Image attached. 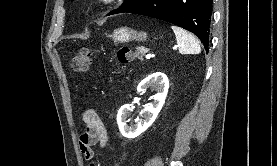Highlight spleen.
I'll use <instances>...</instances> for the list:
<instances>
[{"instance_id": "3e777b00", "label": "spleen", "mask_w": 277, "mask_h": 166, "mask_svg": "<svg viewBox=\"0 0 277 166\" xmlns=\"http://www.w3.org/2000/svg\"><path fill=\"white\" fill-rule=\"evenodd\" d=\"M172 30L175 33L181 54H199L201 52L199 41L191 33L174 25L172 26Z\"/></svg>"}]
</instances>
